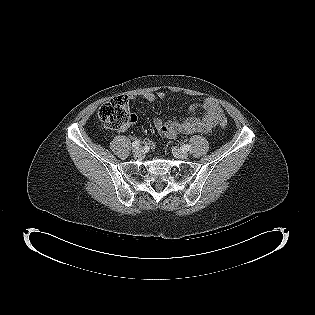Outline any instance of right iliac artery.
Returning <instances> with one entry per match:
<instances>
[{
	"mask_svg": "<svg viewBox=\"0 0 315 315\" xmlns=\"http://www.w3.org/2000/svg\"><path fill=\"white\" fill-rule=\"evenodd\" d=\"M140 144V141L139 140H135L133 143H132V147L134 148H137Z\"/></svg>",
	"mask_w": 315,
	"mask_h": 315,
	"instance_id": "obj_1",
	"label": "right iliac artery"
}]
</instances>
